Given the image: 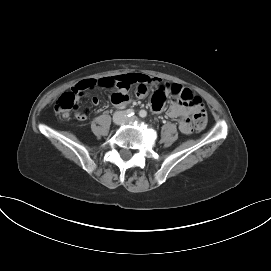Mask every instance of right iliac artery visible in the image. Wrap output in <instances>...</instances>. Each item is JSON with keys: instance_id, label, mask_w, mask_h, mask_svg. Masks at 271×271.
I'll return each mask as SVG.
<instances>
[{"instance_id": "obj_1", "label": "right iliac artery", "mask_w": 271, "mask_h": 271, "mask_svg": "<svg viewBox=\"0 0 271 271\" xmlns=\"http://www.w3.org/2000/svg\"><path fill=\"white\" fill-rule=\"evenodd\" d=\"M124 114L127 117H131V116L134 115V110L133 109H127Z\"/></svg>"}]
</instances>
